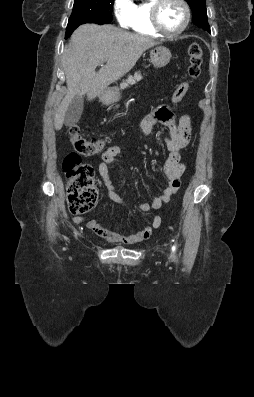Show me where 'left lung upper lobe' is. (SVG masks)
Masks as SVG:
<instances>
[{"mask_svg":"<svg viewBox=\"0 0 254 397\" xmlns=\"http://www.w3.org/2000/svg\"><path fill=\"white\" fill-rule=\"evenodd\" d=\"M192 9V21L198 27L210 32L207 21L206 0H186Z\"/></svg>","mask_w":254,"mask_h":397,"instance_id":"1","label":"left lung upper lobe"}]
</instances>
